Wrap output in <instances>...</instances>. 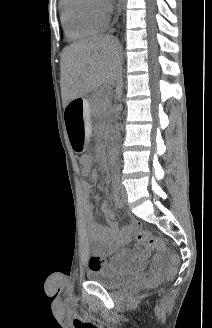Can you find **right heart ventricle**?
<instances>
[{"instance_id":"e07e8e85","label":"right heart ventricle","mask_w":212,"mask_h":328,"mask_svg":"<svg viewBox=\"0 0 212 328\" xmlns=\"http://www.w3.org/2000/svg\"><path fill=\"white\" fill-rule=\"evenodd\" d=\"M61 17L67 36L74 40L91 37L106 25V18L96 11L92 0H63Z\"/></svg>"}]
</instances>
